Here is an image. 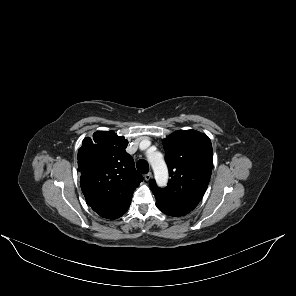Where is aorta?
<instances>
[{
	"label": "aorta",
	"instance_id": "1",
	"mask_svg": "<svg viewBox=\"0 0 296 296\" xmlns=\"http://www.w3.org/2000/svg\"><path fill=\"white\" fill-rule=\"evenodd\" d=\"M147 157L153 168L157 184L160 187L165 186L168 180V169L162 154L159 152H148Z\"/></svg>",
	"mask_w": 296,
	"mask_h": 296
}]
</instances>
